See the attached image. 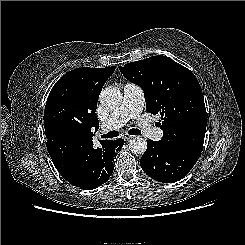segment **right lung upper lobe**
Here are the masks:
<instances>
[{
	"label": "right lung upper lobe",
	"mask_w": 245,
	"mask_h": 245,
	"mask_svg": "<svg viewBox=\"0 0 245 245\" xmlns=\"http://www.w3.org/2000/svg\"><path fill=\"white\" fill-rule=\"evenodd\" d=\"M115 68H77L54 85L44 110L49 154L55 153L60 142L64 143L60 152L71 157L93 145V131L99 126L97 101Z\"/></svg>",
	"instance_id": "cb5924a9"
}]
</instances>
